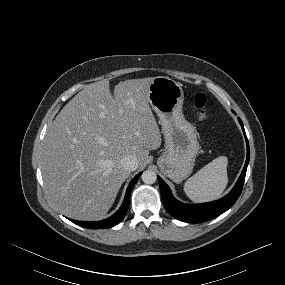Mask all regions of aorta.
Instances as JSON below:
<instances>
[{
    "label": "aorta",
    "mask_w": 285,
    "mask_h": 285,
    "mask_svg": "<svg viewBox=\"0 0 285 285\" xmlns=\"http://www.w3.org/2000/svg\"><path fill=\"white\" fill-rule=\"evenodd\" d=\"M141 178L145 184H153L155 183L157 176L154 171L146 170L142 173Z\"/></svg>",
    "instance_id": "aorta-1"
}]
</instances>
